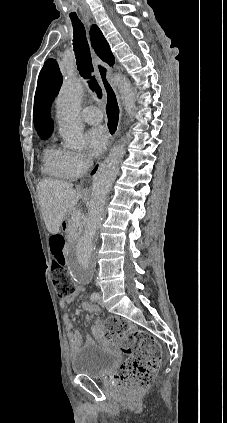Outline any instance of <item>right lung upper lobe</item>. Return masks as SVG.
<instances>
[{
	"label": "right lung upper lobe",
	"mask_w": 227,
	"mask_h": 423,
	"mask_svg": "<svg viewBox=\"0 0 227 423\" xmlns=\"http://www.w3.org/2000/svg\"><path fill=\"white\" fill-rule=\"evenodd\" d=\"M90 39L97 55L110 66L114 64V56L103 34L96 25L90 31ZM62 84V75L55 60L49 59L40 71L34 99L33 119L38 134L49 136L53 130V122L49 111L54 98Z\"/></svg>",
	"instance_id": "cb5924a9"
}]
</instances>
